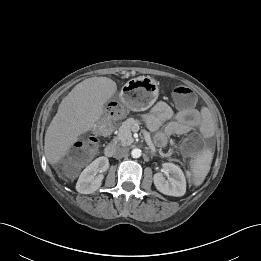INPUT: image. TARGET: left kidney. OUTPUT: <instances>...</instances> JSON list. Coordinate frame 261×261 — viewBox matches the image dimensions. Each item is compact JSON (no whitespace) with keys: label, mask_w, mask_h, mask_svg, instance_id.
<instances>
[{"label":"left kidney","mask_w":261,"mask_h":261,"mask_svg":"<svg viewBox=\"0 0 261 261\" xmlns=\"http://www.w3.org/2000/svg\"><path fill=\"white\" fill-rule=\"evenodd\" d=\"M163 169L169 177L166 179L162 173L153 176L155 187L165 195L180 197L186 192V179L183 171L173 163H164Z\"/></svg>","instance_id":"obj_1"}]
</instances>
